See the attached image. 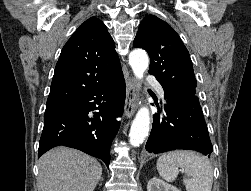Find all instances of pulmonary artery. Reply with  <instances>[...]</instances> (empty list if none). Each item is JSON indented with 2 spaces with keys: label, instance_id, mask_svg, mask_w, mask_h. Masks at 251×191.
Segmentation results:
<instances>
[{
  "label": "pulmonary artery",
  "instance_id": "e3ab8cb5",
  "mask_svg": "<svg viewBox=\"0 0 251 191\" xmlns=\"http://www.w3.org/2000/svg\"><path fill=\"white\" fill-rule=\"evenodd\" d=\"M147 82H150V86H154L155 90L161 95L163 96L164 91L162 86L153 78V73H148L147 75ZM153 78V79H152ZM153 80V81H152ZM155 80V81H154Z\"/></svg>",
  "mask_w": 251,
  "mask_h": 191
}]
</instances>
